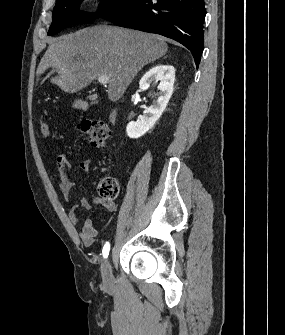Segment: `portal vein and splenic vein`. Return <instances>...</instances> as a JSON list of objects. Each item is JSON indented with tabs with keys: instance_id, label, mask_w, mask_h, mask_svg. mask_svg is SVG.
Returning <instances> with one entry per match:
<instances>
[{
	"instance_id": "1",
	"label": "portal vein and splenic vein",
	"mask_w": 285,
	"mask_h": 335,
	"mask_svg": "<svg viewBox=\"0 0 285 335\" xmlns=\"http://www.w3.org/2000/svg\"><path fill=\"white\" fill-rule=\"evenodd\" d=\"M98 82H100V84H109V76H106V74L99 76Z\"/></svg>"
}]
</instances>
